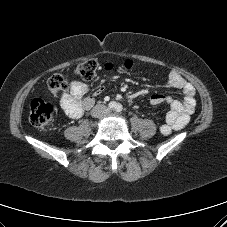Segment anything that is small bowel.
Wrapping results in <instances>:
<instances>
[{"label":"small bowel","instance_id":"small-bowel-1","mask_svg":"<svg viewBox=\"0 0 227 227\" xmlns=\"http://www.w3.org/2000/svg\"><path fill=\"white\" fill-rule=\"evenodd\" d=\"M106 68L111 69L112 66L107 65ZM168 84L173 89L181 90L184 94V99L177 100L163 94H154L150 98L152 105L164 103L169 107V112L166 115V124L161 126V132L165 135L184 128L189 123L196 105L194 86L179 73L170 72ZM87 91V84L80 81L71 83L69 92L64 93L60 99L61 108L66 115L74 119L82 117L85 111L94 105V96L99 95L102 92V88H98L93 96H85Z\"/></svg>","mask_w":227,"mask_h":227}]
</instances>
